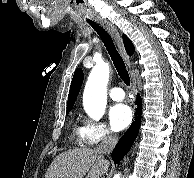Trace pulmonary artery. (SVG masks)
I'll return each instance as SVG.
<instances>
[{"label":"pulmonary artery","mask_w":194,"mask_h":178,"mask_svg":"<svg viewBox=\"0 0 194 178\" xmlns=\"http://www.w3.org/2000/svg\"><path fill=\"white\" fill-rule=\"evenodd\" d=\"M109 96L114 101H121L125 97V93L120 87H113L109 90Z\"/></svg>","instance_id":"1"}]
</instances>
